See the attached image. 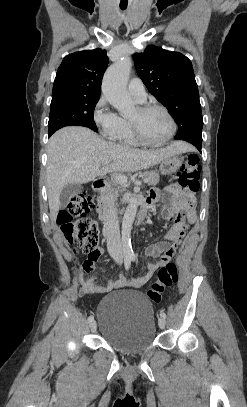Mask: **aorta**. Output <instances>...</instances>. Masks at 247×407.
Masks as SVG:
<instances>
[{
    "mask_svg": "<svg viewBox=\"0 0 247 407\" xmlns=\"http://www.w3.org/2000/svg\"><path fill=\"white\" fill-rule=\"evenodd\" d=\"M132 63L130 58H124L112 65L105 72L102 82V92L109 103L114 106L122 116H126L134 109L132 98L127 92ZM138 198L132 196L122 220V249L125 256L133 254L131 246V229L137 213Z\"/></svg>",
    "mask_w": 247,
    "mask_h": 407,
    "instance_id": "762f6f07",
    "label": "aorta"
}]
</instances>
